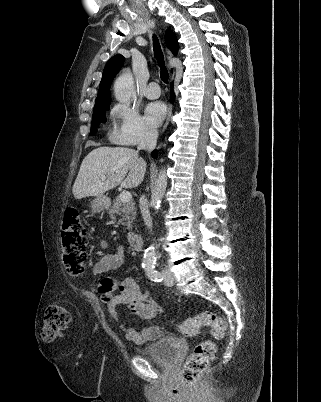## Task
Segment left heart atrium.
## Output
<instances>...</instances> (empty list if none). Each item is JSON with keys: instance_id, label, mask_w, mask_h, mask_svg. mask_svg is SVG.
<instances>
[{"instance_id": "left-heart-atrium-1", "label": "left heart atrium", "mask_w": 321, "mask_h": 402, "mask_svg": "<svg viewBox=\"0 0 321 402\" xmlns=\"http://www.w3.org/2000/svg\"><path fill=\"white\" fill-rule=\"evenodd\" d=\"M166 106L162 102L149 103L145 108V118L152 127H157L166 115Z\"/></svg>"}]
</instances>
